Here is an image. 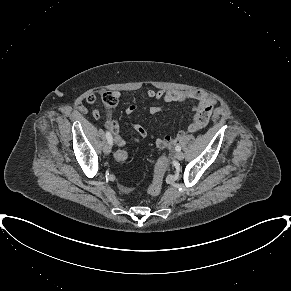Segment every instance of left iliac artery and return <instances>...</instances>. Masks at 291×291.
I'll return each instance as SVG.
<instances>
[{"instance_id": "1", "label": "left iliac artery", "mask_w": 291, "mask_h": 291, "mask_svg": "<svg viewBox=\"0 0 291 291\" xmlns=\"http://www.w3.org/2000/svg\"><path fill=\"white\" fill-rule=\"evenodd\" d=\"M175 150H176L177 152H179V151L181 150V147H180L179 145H177V146L175 147Z\"/></svg>"}]
</instances>
